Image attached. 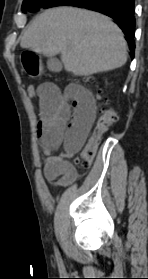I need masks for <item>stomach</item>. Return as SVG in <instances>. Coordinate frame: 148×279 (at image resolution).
Wrapping results in <instances>:
<instances>
[{
    "label": "stomach",
    "instance_id": "1",
    "mask_svg": "<svg viewBox=\"0 0 148 279\" xmlns=\"http://www.w3.org/2000/svg\"><path fill=\"white\" fill-rule=\"evenodd\" d=\"M20 63V68L24 69L23 74L27 75V78H36V81H39V78H48V75L52 74L39 50H22Z\"/></svg>",
    "mask_w": 148,
    "mask_h": 279
}]
</instances>
